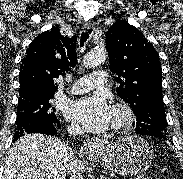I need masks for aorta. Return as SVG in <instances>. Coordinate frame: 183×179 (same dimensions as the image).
Wrapping results in <instances>:
<instances>
[{
    "mask_svg": "<svg viewBox=\"0 0 183 179\" xmlns=\"http://www.w3.org/2000/svg\"><path fill=\"white\" fill-rule=\"evenodd\" d=\"M107 58V52L104 49H97L84 56L83 65L86 68H92L103 63Z\"/></svg>",
    "mask_w": 183,
    "mask_h": 179,
    "instance_id": "aorta-1",
    "label": "aorta"
}]
</instances>
